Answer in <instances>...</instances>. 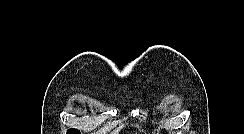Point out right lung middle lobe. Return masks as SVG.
Returning a JSON list of instances; mask_svg holds the SVG:
<instances>
[{
	"label": "right lung middle lobe",
	"instance_id": "1",
	"mask_svg": "<svg viewBox=\"0 0 244 134\" xmlns=\"http://www.w3.org/2000/svg\"><path fill=\"white\" fill-rule=\"evenodd\" d=\"M68 134H80V132L78 130H76V129H70L68 131Z\"/></svg>",
	"mask_w": 244,
	"mask_h": 134
}]
</instances>
